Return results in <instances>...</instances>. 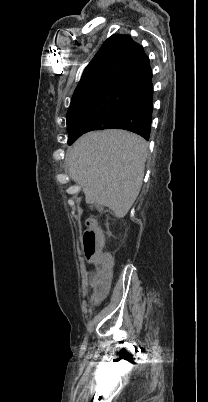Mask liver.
<instances>
[{
  "label": "liver",
  "mask_w": 208,
  "mask_h": 402,
  "mask_svg": "<svg viewBox=\"0 0 208 402\" xmlns=\"http://www.w3.org/2000/svg\"><path fill=\"white\" fill-rule=\"evenodd\" d=\"M147 144L124 130H103L81 136L69 148L68 174L82 188L87 204L110 208L124 218L141 190Z\"/></svg>",
  "instance_id": "liver-1"
}]
</instances>
